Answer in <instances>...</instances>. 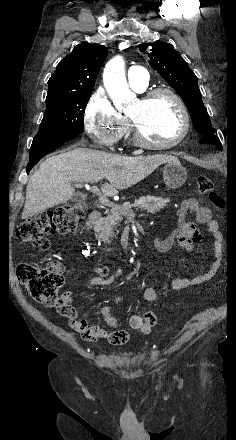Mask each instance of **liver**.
Returning a JSON list of instances; mask_svg holds the SVG:
<instances>
[{"instance_id": "1", "label": "liver", "mask_w": 236, "mask_h": 440, "mask_svg": "<svg viewBox=\"0 0 236 440\" xmlns=\"http://www.w3.org/2000/svg\"><path fill=\"white\" fill-rule=\"evenodd\" d=\"M175 159L163 154L129 157L86 148L54 155L30 177L22 219L66 203L75 194V182L95 183L105 178L109 183H104L101 191L114 196L145 179L159 165Z\"/></svg>"}]
</instances>
